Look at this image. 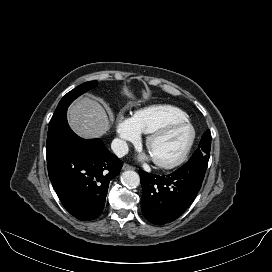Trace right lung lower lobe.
I'll return each instance as SVG.
<instances>
[{
    "instance_id": "1",
    "label": "right lung lower lobe",
    "mask_w": 272,
    "mask_h": 272,
    "mask_svg": "<svg viewBox=\"0 0 272 272\" xmlns=\"http://www.w3.org/2000/svg\"><path fill=\"white\" fill-rule=\"evenodd\" d=\"M46 153L49 178L66 210L82 221L98 217L122 161L100 139L84 140L69 126Z\"/></svg>"
}]
</instances>
